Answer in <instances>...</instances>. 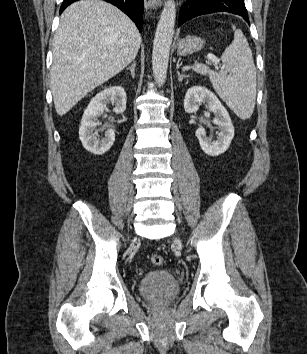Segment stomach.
<instances>
[{
	"instance_id": "obj_1",
	"label": "stomach",
	"mask_w": 307,
	"mask_h": 354,
	"mask_svg": "<svg viewBox=\"0 0 307 354\" xmlns=\"http://www.w3.org/2000/svg\"><path fill=\"white\" fill-rule=\"evenodd\" d=\"M204 40L197 36H187L177 45L179 55H188L201 50L204 47Z\"/></svg>"
}]
</instances>
